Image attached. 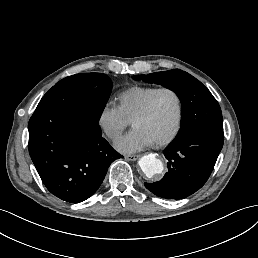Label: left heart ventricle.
Listing matches in <instances>:
<instances>
[{"label":"left heart ventricle","instance_id":"1","mask_svg":"<svg viewBox=\"0 0 258 258\" xmlns=\"http://www.w3.org/2000/svg\"><path fill=\"white\" fill-rule=\"evenodd\" d=\"M177 103L174 94L166 92L161 94L154 105L152 118L147 124L156 135L165 136L172 129Z\"/></svg>","mask_w":258,"mask_h":258}]
</instances>
